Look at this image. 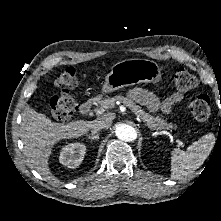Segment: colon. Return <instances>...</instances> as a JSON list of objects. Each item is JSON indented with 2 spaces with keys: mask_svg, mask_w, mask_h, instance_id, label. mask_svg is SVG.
<instances>
[{
  "mask_svg": "<svg viewBox=\"0 0 221 221\" xmlns=\"http://www.w3.org/2000/svg\"><path fill=\"white\" fill-rule=\"evenodd\" d=\"M175 87L182 92L192 90L197 85L194 75L184 69H178L173 77ZM60 92L53 93L50 98L52 116L60 122L67 121L76 110V101L69 94L68 89L78 85V76L74 67L67 66L54 82ZM187 108L193 117L199 121L206 120L210 115L211 102L208 96L200 95L188 102Z\"/></svg>",
  "mask_w": 221,
  "mask_h": 221,
  "instance_id": "1",
  "label": "colon"
}]
</instances>
